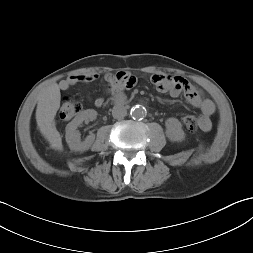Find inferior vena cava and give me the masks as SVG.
I'll use <instances>...</instances> for the list:
<instances>
[{
    "label": "inferior vena cava",
    "mask_w": 253,
    "mask_h": 253,
    "mask_svg": "<svg viewBox=\"0 0 253 253\" xmlns=\"http://www.w3.org/2000/svg\"><path fill=\"white\" fill-rule=\"evenodd\" d=\"M127 110L124 106L116 105L113 107L112 115L116 119H122L126 116Z\"/></svg>",
    "instance_id": "inferior-vena-cava-1"
}]
</instances>
